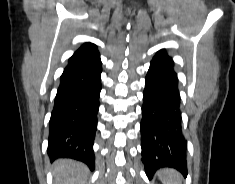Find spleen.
Segmentation results:
<instances>
[{"instance_id":"obj_1","label":"spleen","mask_w":235,"mask_h":184,"mask_svg":"<svg viewBox=\"0 0 235 184\" xmlns=\"http://www.w3.org/2000/svg\"><path fill=\"white\" fill-rule=\"evenodd\" d=\"M157 176L162 184H181L182 178L179 172L172 170V168H162L158 170Z\"/></svg>"}]
</instances>
